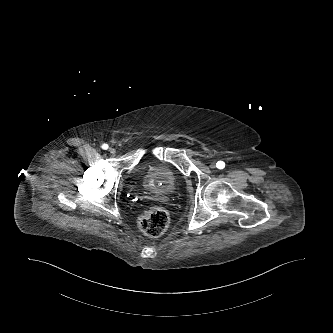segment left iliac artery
I'll return each mask as SVG.
<instances>
[{"label": "left iliac artery", "mask_w": 333, "mask_h": 333, "mask_svg": "<svg viewBox=\"0 0 333 333\" xmlns=\"http://www.w3.org/2000/svg\"><path fill=\"white\" fill-rule=\"evenodd\" d=\"M216 165L218 169H223L225 167V163L223 161H218Z\"/></svg>", "instance_id": "1"}]
</instances>
